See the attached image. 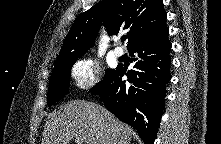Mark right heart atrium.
I'll use <instances>...</instances> for the list:
<instances>
[{
    "instance_id": "d8ad5b80",
    "label": "right heart atrium",
    "mask_w": 221,
    "mask_h": 144,
    "mask_svg": "<svg viewBox=\"0 0 221 144\" xmlns=\"http://www.w3.org/2000/svg\"><path fill=\"white\" fill-rule=\"evenodd\" d=\"M101 67L91 57L78 60L71 69V77L75 86L80 90L94 87L100 80Z\"/></svg>"
}]
</instances>
